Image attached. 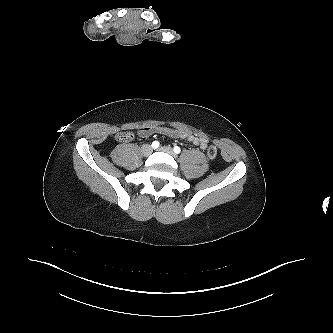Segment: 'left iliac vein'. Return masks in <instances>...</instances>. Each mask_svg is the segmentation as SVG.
I'll use <instances>...</instances> for the list:
<instances>
[{
	"mask_svg": "<svg viewBox=\"0 0 333 333\" xmlns=\"http://www.w3.org/2000/svg\"><path fill=\"white\" fill-rule=\"evenodd\" d=\"M159 150H160V151H163V152H165V153H168V154H170V155L173 156V157H176L175 152H174L173 149H172L171 147H169V146H163V147H160Z\"/></svg>",
	"mask_w": 333,
	"mask_h": 333,
	"instance_id": "left-iliac-vein-1",
	"label": "left iliac vein"
}]
</instances>
